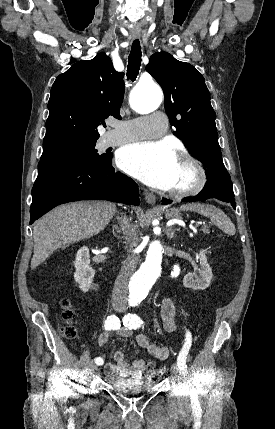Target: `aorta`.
Masks as SVG:
<instances>
[{"instance_id": "obj_1", "label": "aorta", "mask_w": 275, "mask_h": 429, "mask_svg": "<svg viewBox=\"0 0 275 429\" xmlns=\"http://www.w3.org/2000/svg\"><path fill=\"white\" fill-rule=\"evenodd\" d=\"M162 101V91L154 82L139 83L130 95L131 107L140 114L156 110ZM163 246L158 240L149 244L145 262L133 275L130 282V295L134 302L143 299L161 272Z\"/></svg>"}]
</instances>
